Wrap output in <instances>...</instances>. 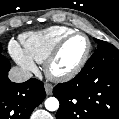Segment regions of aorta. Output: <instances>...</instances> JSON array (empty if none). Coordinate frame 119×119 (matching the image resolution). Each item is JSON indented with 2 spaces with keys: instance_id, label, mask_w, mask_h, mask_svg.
<instances>
[{
  "instance_id": "obj_1",
  "label": "aorta",
  "mask_w": 119,
  "mask_h": 119,
  "mask_svg": "<svg viewBox=\"0 0 119 119\" xmlns=\"http://www.w3.org/2000/svg\"><path fill=\"white\" fill-rule=\"evenodd\" d=\"M45 107L49 111H56L59 108V101L55 97H49L45 101Z\"/></svg>"
}]
</instances>
